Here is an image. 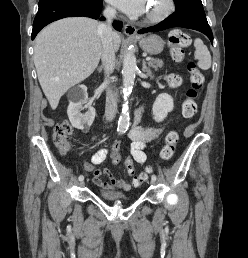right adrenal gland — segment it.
<instances>
[{
  "label": "right adrenal gland",
  "instance_id": "1",
  "mask_svg": "<svg viewBox=\"0 0 248 258\" xmlns=\"http://www.w3.org/2000/svg\"><path fill=\"white\" fill-rule=\"evenodd\" d=\"M98 71H99V72H102V71H103V66L99 67V68H98Z\"/></svg>",
  "mask_w": 248,
  "mask_h": 258
}]
</instances>
